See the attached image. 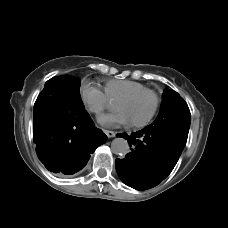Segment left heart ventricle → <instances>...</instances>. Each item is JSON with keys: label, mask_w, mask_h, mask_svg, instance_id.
Here are the masks:
<instances>
[{"label": "left heart ventricle", "mask_w": 228, "mask_h": 228, "mask_svg": "<svg viewBox=\"0 0 228 228\" xmlns=\"http://www.w3.org/2000/svg\"><path fill=\"white\" fill-rule=\"evenodd\" d=\"M153 97L151 95H144L128 104L124 111L128 117L134 120L144 118L153 106Z\"/></svg>", "instance_id": "b2bd125f"}]
</instances>
